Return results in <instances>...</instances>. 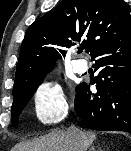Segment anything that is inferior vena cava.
Returning <instances> with one entry per match:
<instances>
[{"mask_svg":"<svg viewBox=\"0 0 131 151\" xmlns=\"http://www.w3.org/2000/svg\"><path fill=\"white\" fill-rule=\"evenodd\" d=\"M68 132L74 137V140L81 145L80 151H86V149H83V143H82L83 134H82V131H80L78 128H76L74 126H71L68 129Z\"/></svg>","mask_w":131,"mask_h":151,"instance_id":"inferior-vena-cava-1","label":"inferior vena cava"}]
</instances>
